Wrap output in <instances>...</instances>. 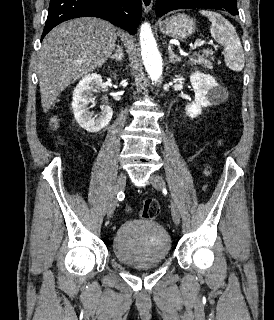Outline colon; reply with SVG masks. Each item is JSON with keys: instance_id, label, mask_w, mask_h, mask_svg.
Wrapping results in <instances>:
<instances>
[{"instance_id": "5ec220e1", "label": "colon", "mask_w": 274, "mask_h": 320, "mask_svg": "<svg viewBox=\"0 0 274 320\" xmlns=\"http://www.w3.org/2000/svg\"><path fill=\"white\" fill-rule=\"evenodd\" d=\"M49 126L51 128H57L59 126V121L57 118L53 117L50 122ZM127 212H132L131 208L126 209ZM160 212L158 202L153 198H147L144 200L143 207L141 210L142 216L146 219H153L155 218Z\"/></svg>"}]
</instances>
